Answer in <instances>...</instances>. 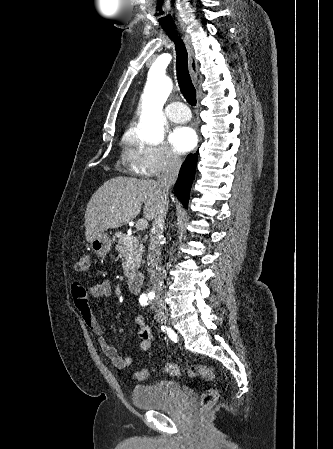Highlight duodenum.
I'll list each match as a JSON object with an SVG mask.
<instances>
[{"label":"duodenum","mask_w":333,"mask_h":449,"mask_svg":"<svg viewBox=\"0 0 333 449\" xmlns=\"http://www.w3.org/2000/svg\"><path fill=\"white\" fill-rule=\"evenodd\" d=\"M143 284V274L140 272L131 273L127 279V288L131 293H139Z\"/></svg>","instance_id":"1"}]
</instances>
